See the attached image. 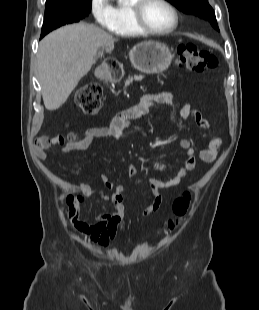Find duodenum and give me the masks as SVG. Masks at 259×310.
<instances>
[{
    "mask_svg": "<svg viewBox=\"0 0 259 310\" xmlns=\"http://www.w3.org/2000/svg\"><path fill=\"white\" fill-rule=\"evenodd\" d=\"M120 75V67L114 61L109 62L102 71V76L106 79H117Z\"/></svg>",
    "mask_w": 259,
    "mask_h": 310,
    "instance_id": "1",
    "label": "duodenum"
}]
</instances>
